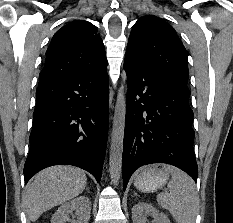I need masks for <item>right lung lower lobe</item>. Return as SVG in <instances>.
<instances>
[{
	"mask_svg": "<svg viewBox=\"0 0 233 223\" xmlns=\"http://www.w3.org/2000/svg\"><path fill=\"white\" fill-rule=\"evenodd\" d=\"M108 101L107 66L39 84L25 183L38 171L58 164L80 167L99 182L107 144Z\"/></svg>",
	"mask_w": 233,
	"mask_h": 223,
	"instance_id": "1",
	"label": "right lung lower lobe"
}]
</instances>
